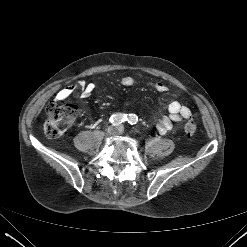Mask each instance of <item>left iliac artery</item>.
I'll return each instance as SVG.
<instances>
[{"mask_svg": "<svg viewBox=\"0 0 247 247\" xmlns=\"http://www.w3.org/2000/svg\"><path fill=\"white\" fill-rule=\"evenodd\" d=\"M137 121H138V119H137V116H135V114H130V115H129L128 123H129L130 125L136 124Z\"/></svg>", "mask_w": 247, "mask_h": 247, "instance_id": "obj_1", "label": "left iliac artery"}]
</instances>
